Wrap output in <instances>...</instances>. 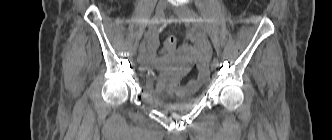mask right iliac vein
<instances>
[{"instance_id": "obj_1", "label": "right iliac vein", "mask_w": 332, "mask_h": 140, "mask_svg": "<svg viewBox=\"0 0 332 140\" xmlns=\"http://www.w3.org/2000/svg\"><path fill=\"white\" fill-rule=\"evenodd\" d=\"M166 7H167V0L158 1L157 6H156V12H155L156 18L159 19L162 17ZM145 52H146V43H145V41H142L139 45V55H138V59H137V61L139 63H141L144 60Z\"/></svg>"}]
</instances>
